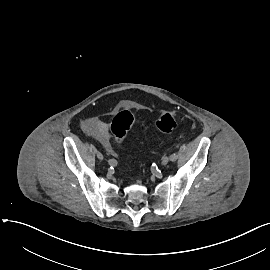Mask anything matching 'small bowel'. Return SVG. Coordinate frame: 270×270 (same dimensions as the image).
<instances>
[{
    "mask_svg": "<svg viewBox=\"0 0 270 270\" xmlns=\"http://www.w3.org/2000/svg\"><path fill=\"white\" fill-rule=\"evenodd\" d=\"M83 128L88 135L97 139L105 148L111 147L108 125L103 120L90 117L84 121Z\"/></svg>",
    "mask_w": 270,
    "mask_h": 270,
    "instance_id": "c3829d8e",
    "label": "small bowel"
}]
</instances>
